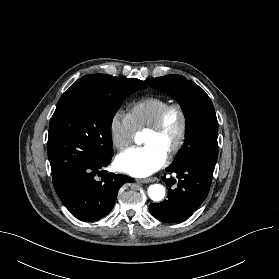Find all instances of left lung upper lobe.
<instances>
[{"mask_svg":"<svg viewBox=\"0 0 279 279\" xmlns=\"http://www.w3.org/2000/svg\"><path fill=\"white\" fill-rule=\"evenodd\" d=\"M146 82L177 99L186 118L185 143L170 166L191 164L213 173L218 156V122L209 96L180 75L150 78Z\"/></svg>","mask_w":279,"mask_h":279,"instance_id":"5c2ea615","label":"left lung upper lobe"}]
</instances>
